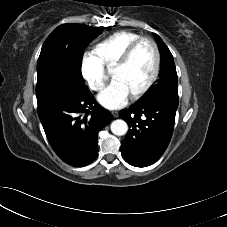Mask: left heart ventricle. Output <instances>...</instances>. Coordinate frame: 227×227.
Instances as JSON below:
<instances>
[{
    "label": "left heart ventricle",
    "mask_w": 227,
    "mask_h": 227,
    "mask_svg": "<svg viewBox=\"0 0 227 227\" xmlns=\"http://www.w3.org/2000/svg\"><path fill=\"white\" fill-rule=\"evenodd\" d=\"M154 64V50L149 43L144 42L138 46L125 67L112 70V76L119 80L131 95L147 83L153 73Z\"/></svg>",
    "instance_id": "left-heart-ventricle-1"
}]
</instances>
